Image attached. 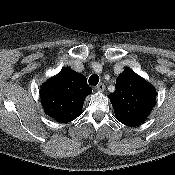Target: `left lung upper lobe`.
Returning a JSON list of instances; mask_svg holds the SVG:
<instances>
[{
    "label": "left lung upper lobe",
    "instance_id": "obj_1",
    "mask_svg": "<svg viewBox=\"0 0 175 175\" xmlns=\"http://www.w3.org/2000/svg\"><path fill=\"white\" fill-rule=\"evenodd\" d=\"M156 96L153 85L129 68L118 76L116 90L109 94L117 120L127 126H137L146 120Z\"/></svg>",
    "mask_w": 175,
    "mask_h": 175
}]
</instances>
